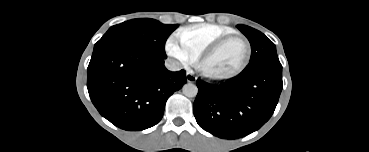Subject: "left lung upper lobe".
<instances>
[{
    "instance_id": "5c2ea615",
    "label": "left lung upper lobe",
    "mask_w": 369,
    "mask_h": 152,
    "mask_svg": "<svg viewBox=\"0 0 369 152\" xmlns=\"http://www.w3.org/2000/svg\"><path fill=\"white\" fill-rule=\"evenodd\" d=\"M237 28L248 38L251 44V58L242 72H250L259 68H282L275 45L260 31L246 25Z\"/></svg>"
}]
</instances>
